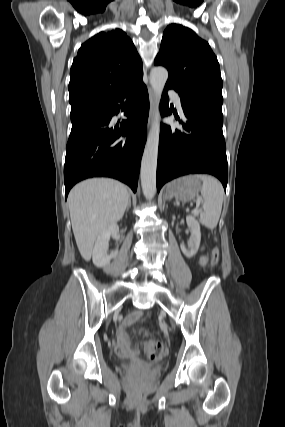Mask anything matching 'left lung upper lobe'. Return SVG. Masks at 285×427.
Masks as SVG:
<instances>
[{
  "label": "left lung upper lobe",
  "mask_w": 285,
  "mask_h": 427,
  "mask_svg": "<svg viewBox=\"0 0 285 427\" xmlns=\"http://www.w3.org/2000/svg\"><path fill=\"white\" fill-rule=\"evenodd\" d=\"M168 69L166 86L191 106L222 111V78L216 56L209 44L191 29L171 24L164 31L154 61Z\"/></svg>",
  "instance_id": "5c2ea615"
}]
</instances>
